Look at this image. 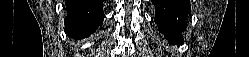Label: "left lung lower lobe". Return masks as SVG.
Masks as SVG:
<instances>
[{
    "label": "left lung lower lobe",
    "mask_w": 249,
    "mask_h": 57,
    "mask_svg": "<svg viewBox=\"0 0 249 57\" xmlns=\"http://www.w3.org/2000/svg\"><path fill=\"white\" fill-rule=\"evenodd\" d=\"M155 6V23L170 44L182 43L181 31L191 11L189 0H152Z\"/></svg>",
    "instance_id": "1"
}]
</instances>
